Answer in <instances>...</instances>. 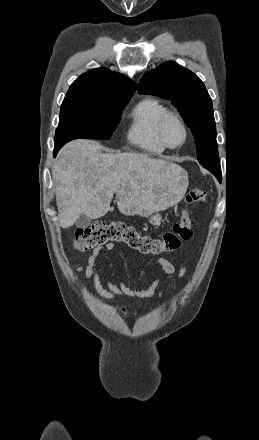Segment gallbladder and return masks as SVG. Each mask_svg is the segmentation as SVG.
I'll use <instances>...</instances> for the list:
<instances>
[{
    "label": "gallbladder",
    "instance_id": "gallbladder-1",
    "mask_svg": "<svg viewBox=\"0 0 259 440\" xmlns=\"http://www.w3.org/2000/svg\"><path fill=\"white\" fill-rule=\"evenodd\" d=\"M91 223V219L84 214H81L75 222L77 228L85 229Z\"/></svg>",
    "mask_w": 259,
    "mask_h": 440
}]
</instances>
